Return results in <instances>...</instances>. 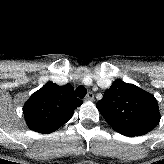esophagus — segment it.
I'll list each match as a JSON object with an SVG mask.
<instances>
[{"mask_svg":"<svg viewBox=\"0 0 164 164\" xmlns=\"http://www.w3.org/2000/svg\"><path fill=\"white\" fill-rule=\"evenodd\" d=\"M86 101H93L94 100V94L92 92H89L86 97H85Z\"/></svg>","mask_w":164,"mask_h":164,"instance_id":"obj_1","label":"esophagus"}]
</instances>
